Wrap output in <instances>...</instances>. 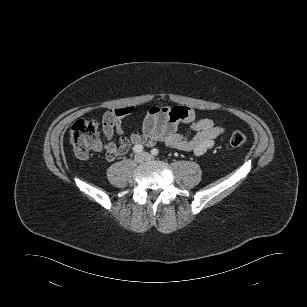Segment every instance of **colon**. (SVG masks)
Here are the masks:
<instances>
[{
    "label": "colon",
    "mask_w": 307,
    "mask_h": 307,
    "mask_svg": "<svg viewBox=\"0 0 307 307\" xmlns=\"http://www.w3.org/2000/svg\"><path fill=\"white\" fill-rule=\"evenodd\" d=\"M70 141L77 157L87 158L91 151L102 148L103 143L98 134V122L94 118L77 120L70 129ZM247 137L240 131H235L229 139L232 147H241Z\"/></svg>",
    "instance_id": "1"
}]
</instances>
